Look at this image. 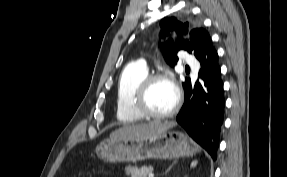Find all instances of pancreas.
I'll list each match as a JSON object with an SVG mask.
<instances>
[{"instance_id":"1","label":"pancreas","mask_w":287,"mask_h":177,"mask_svg":"<svg viewBox=\"0 0 287 177\" xmlns=\"http://www.w3.org/2000/svg\"><path fill=\"white\" fill-rule=\"evenodd\" d=\"M153 167L152 166H143L141 168L137 167H126L125 173L131 177H148L150 173H152Z\"/></svg>"}]
</instances>
